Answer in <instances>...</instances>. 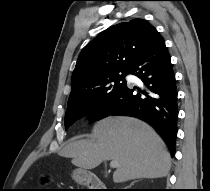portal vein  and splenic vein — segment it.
Returning a JSON list of instances; mask_svg holds the SVG:
<instances>
[{
    "mask_svg": "<svg viewBox=\"0 0 210 191\" xmlns=\"http://www.w3.org/2000/svg\"><path fill=\"white\" fill-rule=\"evenodd\" d=\"M119 165H118V162L116 160H112L110 162V167L111 168H117Z\"/></svg>",
    "mask_w": 210,
    "mask_h": 191,
    "instance_id": "18ae733b",
    "label": "portal vein and splenic vein"
}]
</instances>
